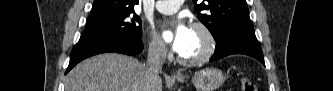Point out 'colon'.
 I'll return each mask as SVG.
<instances>
[{
    "label": "colon",
    "instance_id": "5ec220e1",
    "mask_svg": "<svg viewBox=\"0 0 333 91\" xmlns=\"http://www.w3.org/2000/svg\"><path fill=\"white\" fill-rule=\"evenodd\" d=\"M242 91H257L256 84L250 79H244L241 84Z\"/></svg>",
    "mask_w": 333,
    "mask_h": 91
}]
</instances>
